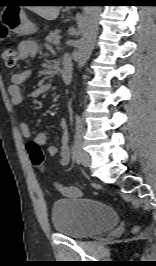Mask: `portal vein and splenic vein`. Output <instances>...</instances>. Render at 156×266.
I'll use <instances>...</instances> for the list:
<instances>
[{
    "label": "portal vein and splenic vein",
    "mask_w": 156,
    "mask_h": 266,
    "mask_svg": "<svg viewBox=\"0 0 156 266\" xmlns=\"http://www.w3.org/2000/svg\"><path fill=\"white\" fill-rule=\"evenodd\" d=\"M57 45L59 44V41H57V43H56Z\"/></svg>",
    "instance_id": "portal-vein-and-splenic-vein-1"
}]
</instances>
